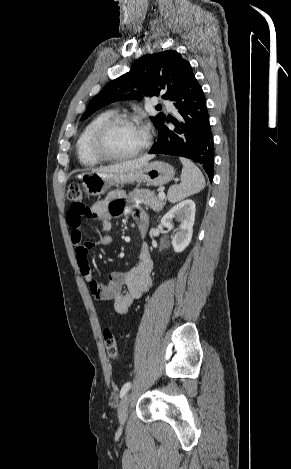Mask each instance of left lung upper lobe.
I'll return each instance as SVG.
<instances>
[{
  "instance_id": "obj_1",
  "label": "left lung upper lobe",
  "mask_w": 291,
  "mask_h": 469,
  "mask_svg": "<svg viewBox=\"0 0 291 469\" xmlns=\"http://www.w3.org/2000/svg\"><path fill=\"white\" fill-rule=\"evenodd\" d=\"M189 68V62L175 50L147 54L139 58L128 73L108 83L89 102L81 119L85 120L96 110L118 100L141 99L160 93L163 94L162 98L170 99L182 84ZM151 119L159 129L166 117L160 113Z\"/></svg>"
}]
</instances>
